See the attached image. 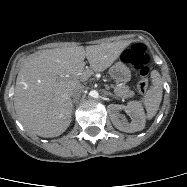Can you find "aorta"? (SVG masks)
Returning a JSON list of instances; mask_svg holds the SVG:
<instances>
[{"label": "aorta", "mask_w": 187, "mask_h": 187, "mask_svg": "<svg viewBox=\"0 0 187 187\" xmlns=\"http://www.w3.org/2000/svg\"><path fill=\"white\" fill-rule=\"evenodd\" d=\"M89 95L93 98H98L99 97V93L96 90H92L89 92Z\"/></svg>", "instance_id": "aorta-1"}]
</instances>
